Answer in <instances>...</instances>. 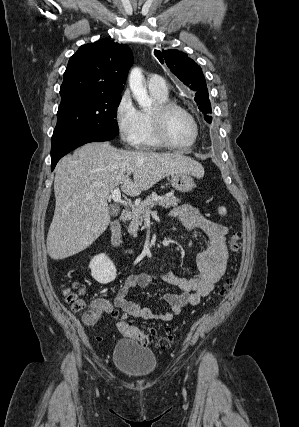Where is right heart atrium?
Listing matches in <instances>:
<instances>
[{
    "mask_svg": "<svg viewBox=\"0 0 299 427\" xmlns=\"http://www.w3.org/2000/svg\"><path fill=\"white\" fill-rule=\"evenodd\" d=\"M114 120L122 142L128 146H136L142 128L141 115L129 91H124L119 97L114 109Z\"/></svg>",
    "mask_w": 299,
    "mask_h": 427,
    "instance_id": "d8ad5b80",
    "label": "right heart atrium"
}]
</instances>
